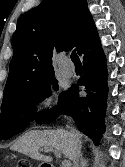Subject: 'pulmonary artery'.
<instances>
[{
	"label": "pulmonary artery",
	"mask_w": 125,
	"mask_h": 167,
	"mask_svg": "<svg viewBox=\"0 0 125 167\" xmlns=\"http://www.w3.org/2000/svg\"><path fill=\"white\" fill-rule=\"evenodd\" d=\"M59 70L66 77H72L75 73V68L65 66L62 60L59 61Z\"/></svg>",
	"instance_id": "obj_1"
}]
</instances>
